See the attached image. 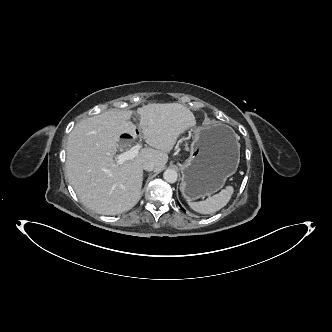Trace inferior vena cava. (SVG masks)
Returning <instances> with one entry per match:
<instances>
[{
	"mask_svg": "<svg viewBox=\"0 0 332 332\" xmlns=\"http://www.w3.org/2000/svg\"><path fill=\"white\" fill-rule=\"evenodd\" d=\"M155 168V164L152 161H147L143 164V169L146 171H152Z\"/></svg>",
	"mask_w": 332,
	"mask_h": 332,
	"instance_id": "602c4592",
	"label": "inferior vena cava"
}]
</instances>
